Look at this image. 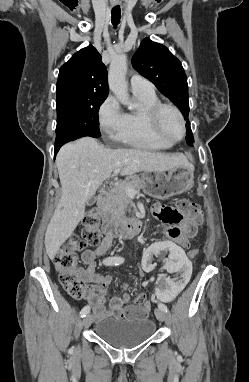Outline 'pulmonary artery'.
I'll list each match as a JSON object with an SVG mask.
<instances>
[{
    "mask_svg": "<svg viewBox=\"0 0 249 382\" xmlns=\"http://www.w3.org/2000/svg\"><path fill=\"white\" fill-rule=\"evenodd\" d=\"M130 88L133 93H154L153 84L140 75H132L130 78Z\"/></svg>",
    "mask_w": 249,
    "mask_h": 382,
    "instance_id": "1",
    "label": "pulmonary artery"
}]
</instances>
